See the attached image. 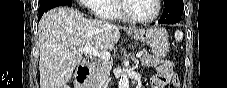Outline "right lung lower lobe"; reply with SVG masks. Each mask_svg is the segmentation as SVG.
Instances as JSON below:
<instances>
[{"mask_svg":"<svg viewBox=\"0 0 227 88\" xmlns=\"http://www.w3.org/2000/svg\"><path fill=\"white\" fill-rule=\"evenodd\" d=\"M46 12V11H45ZM44 14V11H40L39 12V18L38 19H40L41 17H42V15Z\"/></svg>","mask_w":227,"mask_h":88,"instance_id":"right-lung-lower-lobe-1","label":"right lung lower lobe"}]
</instances>
